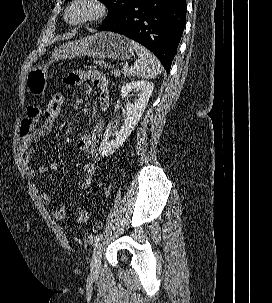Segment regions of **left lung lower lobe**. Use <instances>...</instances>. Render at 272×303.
<instances>
[{
  "instance_id": "left-lung-lower-lobe-1",
  "label": "left lung lower lobe",
  "mask_w": 272,
  "mask_h": 303,
  "mask_svg": "<svg viewBox=\"0 0 272 303\" xmlns=\"http://www.w3.org/2000/svg\"><path fill=\"white\" fill-rule=\"evenodd\" d=\"M186 0H138L98 30L125 35L152 51L169 72L185 23Z\"/></svg>"
}]
</instances>
